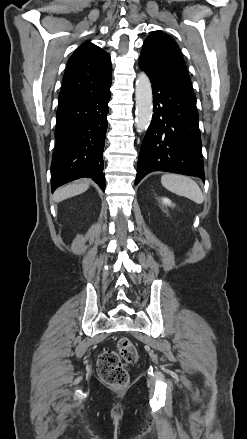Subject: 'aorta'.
Wrapping results in <instances>:
<instances>
[{
	"label": "aorta",
	"mask_w": 247,
	"mask_h": 439,
	"mask_svg": "<svg viewBox=\"0 0 247 439\" xmlns=\"http://www.w3.org/2000/svg\"><path fill=\"white\" fill-rule=\"evenodd\" d=\"M135 101L136 126L139 132H143L149 127L153 114L152 87L148 76L144 72H141L136 80Z\"/></svg>",
	"instance_id": "762f6f07"
}]
</instances>
